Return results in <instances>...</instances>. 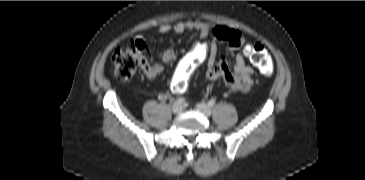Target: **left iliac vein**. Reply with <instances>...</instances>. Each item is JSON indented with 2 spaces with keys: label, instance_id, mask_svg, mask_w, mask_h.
<instances>
[{
  "label": "left iliac vein",
  "instance_id": "1",
  "mask_svg": "<svg viewBox=\"0 0 365 180\" xmlns=\"http://www.w3.org/2000/svg\"><path fill=\"white\" fill-rule=\"evenodd\" d=\"M196 109L207 117L212 113L211 108L205 103H198Z\"/></svg>",
  "mask_w": 365,
  "mask_h": 180
}]
</instances>
